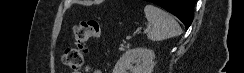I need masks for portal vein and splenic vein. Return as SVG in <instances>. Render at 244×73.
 Returning a JSON list of instances; mask_svg holds the SVG:
<instances>
[{
	"label": "portal vein and splenic vein",
	"instance_id": "1",
	"mask_svg": "<svg viewBox=\"0 0 244 73\" xmlns=\"http://www.w3.org/2000/svg\"><path fill=\"white\" fill-rule=\"evenodd\" d=\"M149 30H150V26H148V27L143 31V33H147ZM139 33H140V32H139Z\"/></svg>",
	"mask_w": 244,
	"mask_h": 73
}]
</instances>
